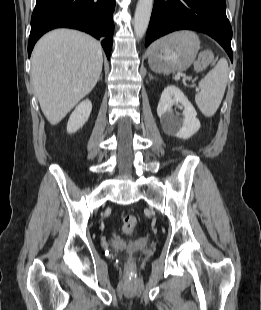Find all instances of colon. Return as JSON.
<instances>
[{
    "instance_id": "5ec220e1",
    "label": "colon",
    "mask_w": 261,
    "mask_h": 310,
    "mask_svg": "<svg viewBox=\"0 0 261 310\" xmlns=\"http://www.w3.org/2000/svg\"><path fill=\"white\" fill-rule=\"evenodd\" d=\"M214 61L213 53L209 50L203 51L199 54L196 62L195 69L203 71L207 69ZM137 226V218L134 215H125L122 219V230L125 234H131ZM129 264L131 261L129 260Z\"/></svg>"
}]
</instances>
